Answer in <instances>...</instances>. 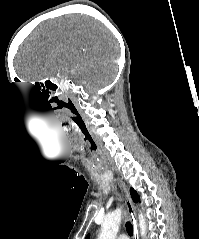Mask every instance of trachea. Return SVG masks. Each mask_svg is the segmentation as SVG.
I'll return each mask as SVG.
<instances>
[{
  "instance_id": "1",
  "label": "trachea",
  "mask_w": 199,
  "mask_h": 239,
  "mask_svg": "<svg viewBox=\"0 0 199 239\" xmlns=\"http://www.w3.org/2000/svg\"><path fill=\"white\" fill-rule=\"evenodd\" d=\"M126 230L128 232L129 235H133V227H132V224L128 221L126 222Z\"/></svg>"
}]
</instances>
